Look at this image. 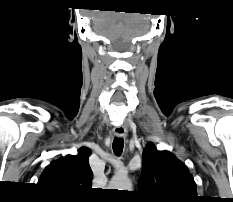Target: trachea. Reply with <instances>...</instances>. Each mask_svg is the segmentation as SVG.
Here are the masks:
<instances>
[{"label":"trachea","instance_id":"1","mask_svg":"<svg viewBox=\"0 0 233 202\" xmlns=\"http://www.w3.org/2000/svg\"><path fill=\"white\" fill-rule=\"evenodd\" d=\"M124 147V140L122 138H115L113 140V151L117 156H120L122 154Z\"/></svg>","mask_w":233,"mask_h":202}]
</instances>
